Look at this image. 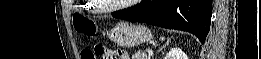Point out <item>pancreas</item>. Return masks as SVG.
Instances as JSON below:
<instances>
[{"label":"pancreas","mask_w":261,"mask_h":59,"mask_svg":"<svg viewBox=\"0 0 261 59\" xmlns=\"http://www.w3.org/2000/svg\"><path fill=\"white\" fill-rule=\"evenodd\" d=\"M132 59H150V57L145 52L139 51L132 55Z\"/></svg>","instance_id":"cf45deb5"}]
</instances>
